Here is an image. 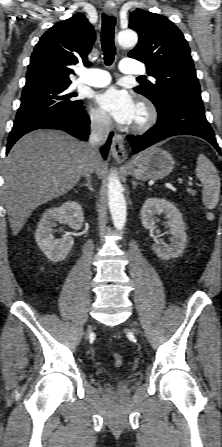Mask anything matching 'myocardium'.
I'll list each match as a JSON object with an SVG mask.
<instances>
[{"instance_id": "myocardium-1", "label": "myocardium", "mask_w": 222, "mask_h": 447, "mask_svg": "<svg viewBox=\"0 0 222 447\" xmlns=\"http://www.w3.org/2000/svg\"><path fill=\"white\" fill-rule=\"evenodd\" d=\"M138 117L133 124V130L143 132L148 130L157 120V111L149 101H141L138 104Z\"/></svg>"}]
</instances>
